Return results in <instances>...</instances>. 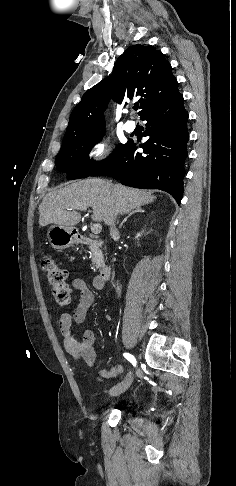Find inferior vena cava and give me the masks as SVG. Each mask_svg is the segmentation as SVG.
Segmentation results:
<instances>
[{
	"mask_svg": "<svg viewBox=\"0 0 236 486\" xmlns=\"http://www.w3.org/2000/svg\"><path fill=\"white\" fill-rule=\"evenodd\" d=\"M117 215H118V212L116 211L112 217V220H111V223H110V234L113 236V235H116L118 233V230L116 229L115 227V222H116V218H117ZM116 292L118 293V295L120 296L121 294V287L117 284V288H116Z\"/></svg>",
	"mask_w": 236,
	"mask_h": 486,
	"instance_id": "inferior-vena-cava-1",
	"label": "inferior vena cava"
}]
</instances>
